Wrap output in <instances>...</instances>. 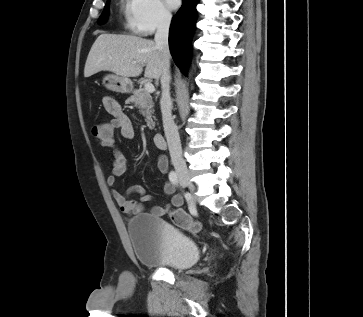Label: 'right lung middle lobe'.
I'll return each instance as SVG.
<instances>
[{"instance_id": "1", "label": "right lung middle lobe", "mask_w": 363, "mask_h": 317, "mask_svg": "<svg viewBox=\"0 0 363 317\" xmlns=\"http://www.w3.org/2000/svg\"><path fill=\"white\" fill-rule=\"evenodd\" d=\"M108 13H109V0L107 1V4L105 5V8L100 16V18L98 19L99 23H103L107 20L108 17Z\"/></svg>"}]
</instances>
